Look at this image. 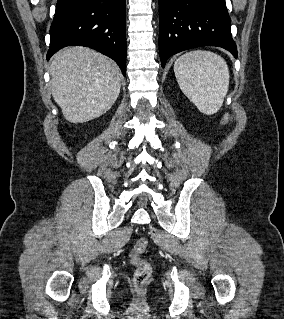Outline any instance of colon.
I'll list each match as a JSON object with an SVG mask.
<instances>
[{"mask_svg":"<svg viewBox=\"0 0 284 319\" xmlns=\"http://www.w3.org/2000/svg\"><path fill=\"white\" fill-rule=\"evenodd\" d=\"M231 120L230 115H225L223 124H227ZM148 247L147 238H140L134 245L130 258L132 264L136 267L134 273V285L137 289H141L147 282L151 274L150 264L141 256Z\"/></svg>","mask_w":284,"mask_h":319,"instance_id":"5ec220e1","label":"colon"}]
</instances>
